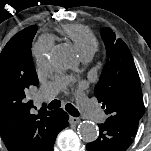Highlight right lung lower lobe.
I'll return each mask as SVG.
<instances>
[{
    "instance_id": "98d812e1",
    "label": "right lung lower lobe",
    "mask_w": 151,
    "mask_h": 151,
    "mask_svg": "<svg viewBox=\"0 0 151 151\" xmlns=\"http://www.w3.org/2000/svg\"><path fill=\"white\" fill-rule=\"evenodd\" d=\"M68 117V114L61 108L53 111L48 126V129L52 134V149L50 151H53V145L57 134L68 126Z\"/></svg>"
}]
</instances>
